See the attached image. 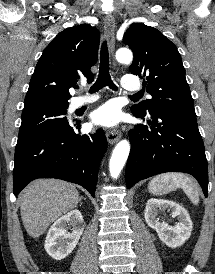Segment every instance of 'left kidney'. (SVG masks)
Listing matches in <instances>:
<instances>
[{"instance_id":"obj_1","label":"left kidney","mask_w":215,"mask_h":274,"mask_svg":"<svg viewBox=\"0 0 215 274\" xmlns=\"http://www.w3.org/2000/svg\"><path fill=\"white\" fill-rule=\"evenodd\" d=\"M166 209L171 210L172 217H177L178 222L175 226L159 222L157 218L159 211ZM144 217L147 225L157 232L160 240L168 247H179L191 236L193 226L190 215L184 207L176 202L150 199L147 201Z\"/></svg>"}]
</instances>
